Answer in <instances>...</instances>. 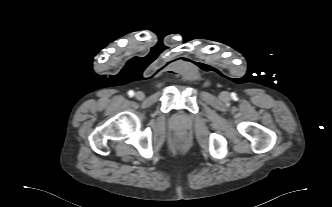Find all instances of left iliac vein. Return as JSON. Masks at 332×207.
<instances>
[{
    "mask_svg": "<svg viewBox=\"0 0 332 207\" xmlns=\"http://www.w3.org/2000/svg\"><path fill=\"white\" fill-rule=\"evenodd\" d=\"M220 98H221L222 100H227V99L229 98V94H228L227 92H222V93L220 94Z\"/></svg>",
    "mask_w": 332,
    "mask_h": 207,
    "instance_id": "1",
    "label": "left iliac vein"
}]
</instances>
